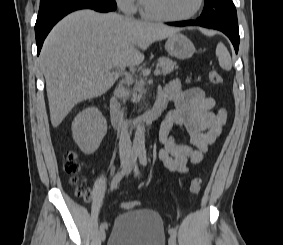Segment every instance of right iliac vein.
I'll return each mask as SVG.
<instances>
[{"mask_svg":"<svg viewBox=\"0 0 283 245\" xmlns=\"http://www.w3.org/2000/svg\"><path fill=\"white\" fill-rule=\"evenodd\" d=\"M129 159L128 157H123L121 159V167H125V165L128 163ZM99 238L100 240L103 242L106 238V232H105V229H101L100 232H99Z\"/></svg>","mask_w":283,"mask_h":245,"instance_id":"1","label":"right iliac vein"}]
</instances>
